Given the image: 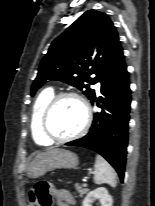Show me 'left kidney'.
<instances>
[{"mask_svg": "<svg viewBox=\"0 0 155 206\" xmlns=\"http://www.w3.org/2000/svg\"><path fill=\"white\" fill-rule=\"evenodd\" d=\"M95 201H98L101 206H112L113 202L112 197L104 187H99L93 191H90L83 200L82 206H92Z\"/></svg>", "mask_w": 155, "mask_h": 206, "instance_id": "obj_1", "label": "left kidney"}]
</instances>
